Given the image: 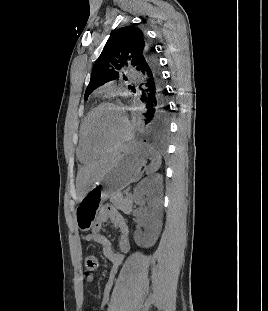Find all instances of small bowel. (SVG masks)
Here are the masks:
<instances>
[{
	"label": "small bowel",
	"mask_w": 268,
	"mask_h": 311,
	"mask_svg": "<svg viewBox=\"0 0 268 311\" xmlns=\"http://www.w3.org/2000/svg\"><path fill=\"white\" fill-rule=\"evenodd\" d=\"M110 222L119 233V251L115 250L111 241L103 235L100 230L102 226ZM87 242L99 243L103 246V255L113 265V270L109 278V282L105 287L103 293L102 306L108 304L110 300V291L114 276L119 271V266L124 262L127 254L130 252V239L129 230L127 224L122 215L113 207H105L96 224L91 229L89 234L85 237ZM86 283L90 284L94 281L93 274H87L85 277ZM89 310H93L94 307H89Z\"/></svg>",
	"instance_id": "small-bowel-1"
}]
</instances>
